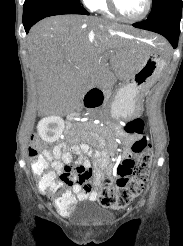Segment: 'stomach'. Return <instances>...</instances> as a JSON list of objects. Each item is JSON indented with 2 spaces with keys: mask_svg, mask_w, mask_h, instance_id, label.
<instances>
[{
  "mask_svg": "<svg viewBox=\"0 0 183 246\" xmlns=\"http://www.w3.org/2000/svg\"><path fill=\"white\" fill-rule=\"evenodd\" d=\"M130 43L141 56V61L111 102V115L115 119H128L141 112L144 95L165 66V60L158 56L152 42Z\"/></svg>",
  "mask_w": 183,
  "mask_h": 246,
  "instance_id": "obj_1",
  "label": "stomach"
}]
</instances>
